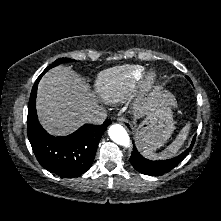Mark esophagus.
<instances>
[{"instance_id": "esophagus-1", "label": "esophagus", "mask_w": 221, "mask_h": 221, "mask_svg": "<svg viewBox=\"0 0 221 221\" xmlns=\"http://www.w3.org/2000/svg\"><path fill=\"white\" fill-rule=\"evenodd\" d=\"M117 121L120 122L125 128H130L131 124L128 122L125 118L119 117L117 118Z\"/></svg>"}]
</instances>
